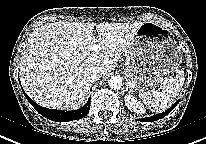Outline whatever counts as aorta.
<instances>
[{
    "mask_svg": "<svg viewBox=\"0 0 206 144\" xmlns=\"http://www.w3.org/2000/svg\"><path fill=\"white\" fill-rule=\"evenodd\" d=\"M109 87L118 90L122 87V79L119 76H113L108 80Z\"/></svg>",
    "mask_w": 206,
    "mask_h": 144,
    "instance_id": "aorta-1",
    "label": "aorta"
}]
</instances>
